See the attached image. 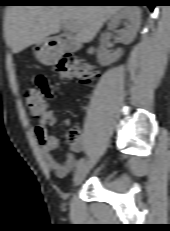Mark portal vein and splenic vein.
Listing matches in <instances>:
<instances>
[{"instance_id": "obj_1", "label": "portal vein and splenic vein", "mask_w": 170, "mask_h": 231, "mask_svg": "<svg viewBox=\"0 0 170 231\" xmlns=\"http://www.w3.org/2000/svg\"><path fill=\"white\" fill-rule=\"evenodd\" d=\"M64 27L70 31H75L74 27L70 23H65Z\"/></svg>"}]
</instances>
